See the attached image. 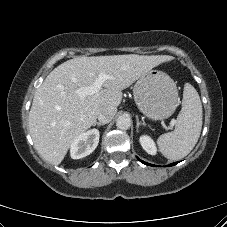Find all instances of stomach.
<instances>
[{
	"label": "stomach",
	"mask_w": 227,
	"mask_h": 227,
	"mask_svg": "<svg viewBox=\"0 0 227 227\" xmlns=\"http://www.w3.org/2000/svg\"><path fill=\"white\" fill-rule=\"evenodd\" d=\"M133 95L139 110L153 121L170 117L179 101L175 82L159 70L142 75L134 86Z\"/></svg>",
	"instance_id": "obj_1"
}]
</instances>
